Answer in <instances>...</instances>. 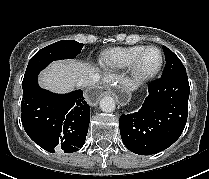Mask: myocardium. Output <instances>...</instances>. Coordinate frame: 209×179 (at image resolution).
Returning a JSON list of instances; mask_svg holds the SVG:
<instances>
[{"label":"myocardium","mask_w":209,"mask_h":179,"mask_svg":"<svg viewBox=\"0 0 209 179\" xmlns=\"http://www.w3.org/2000/svg\"><path fill=\"white\" fill-rule=\"evenodd\" d=\"M150 49H156L159 52L160 62L158 66L156 67V69H154L153 71L143 73L139 70V63H140L142 56L145 54V52H147ZM163 64H164V55H163L162 50L157 46H153V45L146 46L140 52H138V54L132 60L129 66L130 78L135 85H142L150 81L151 79H153L161 71Z\"/></svg>","instance_id":"1"}]
</instances>
